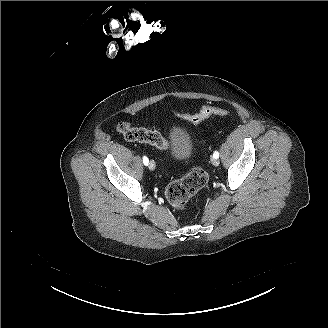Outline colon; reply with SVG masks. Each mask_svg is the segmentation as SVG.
<instances>
[{
    "label": "colon",
    "instance_id": "1",
    "mask_svg": "<svg viewBox=\"0 0 328 328\" xmlns=\"http://www.w3.org/2000/svg\"><path fill=\"white\" fill-rule=\"evenodd\" d=\"M184 120L198 124L212 115L224 116L227 110L221 107L205 105L196 113L177 112ZM118 132L129 141H136L153 145L165 150L170 147L169 142L157 131L132 126L122 121L117 126ZM208 182V174L200 167L191 169L184 177L174 180L166 188L169 204L178 211H183L189 199L202 189Z\"/></svg>",
    "mask_w": 328,
    "mask_h": 328
}]
</instances>
